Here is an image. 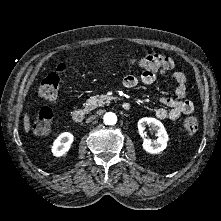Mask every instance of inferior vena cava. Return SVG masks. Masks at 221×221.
<instances>
[{
	"label": "inferior vena cava",
	"mask_w": 221,
	"mask_h": 221,
	"mask_svg": "<svg viewBox=\"0 0 221 221\" xmlns=\"http://www.w3.org/2000/svg\"><path fill=\"white\" fill-rule=\"evenodd\" d=\"M94 119H96V115H92L89 118L86 119V123L92 122Z\"/></svg>",
	"instance_id": "1"
}]
</instances>
